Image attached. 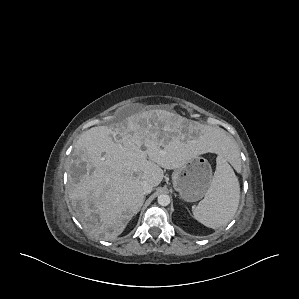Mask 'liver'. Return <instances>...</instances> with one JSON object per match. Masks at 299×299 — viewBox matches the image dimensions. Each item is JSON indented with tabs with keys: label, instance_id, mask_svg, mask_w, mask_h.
Segmentation results:
<instances>
[{
	"label": "liver",
	"instance_id": "1",
	"mask_svg": "<svg viewBox=\"0 0 299 299\" xmlns=\"http://www.w3.org/2000/svg\"><path fill=\"white\" fill-rule=\"evenodd\" d=\"M184 122L178 114L149 110L81 134L68 194L76 218L90 234L115 239L143 205L142 181L156 187L163 180L162 168L175 170L203 153L226 152L232 143L218 128L191 137ZM83 170L76 181L72 176Z\"/></svg>",
	"mask_w": 299,
	"mask_h": 299
}]
</instances>
